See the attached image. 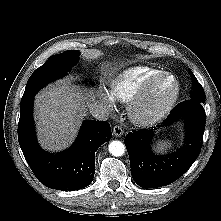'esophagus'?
Listing matches in <instances>:
<instances>
[{"instance_id":"obj_1","label":"esophagus","mask_w":221,"mask_h":221,"mask_svg":"<svg viewBox=\"0 0 221 221\" xmlns=\"http://www.w3.org/2000/svg\"><path fill=\"white\" fill-rule=\"evenodd\" d=\"M124 131L122 129V127L116 125L113 127V134L117 137H120L121 135H123Z\"/></svg>"}]
</instances>
